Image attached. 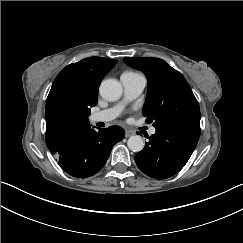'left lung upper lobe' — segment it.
<instances>
[{
    "mask_svg": "<svg viewBox=\"0 0 243 243\" xmlns=\"http://www.w3.org/2000/svg\"><path fill=\"white\" fill-rule=\"evenodd\" d=\"M124 62L147 77V98L143 114L160 128L184 124L200 128V108L183 75L164 60L151 57L124 58Z\"/></svg>",
    "mask_w": 243,
    "mask_h": 243,
    "instance_id": "1",
    "label": "left lung upper lobe"
}]
</instances>
